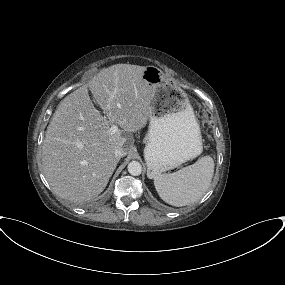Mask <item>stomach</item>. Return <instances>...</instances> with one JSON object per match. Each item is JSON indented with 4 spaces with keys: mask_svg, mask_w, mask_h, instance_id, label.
Segmentation results:
<instances>
[{
    "mask_svg": "<svg viewBox=\"0 0 285 285\" xmlns=\"http://www.w3.org/2000/svg\"><path fill=\"white\" fill-rule=\"evenodd\" d=\"M142 76L153 92L144 158L147 176L154 178L199 156L202 136L187 94L155 66Z\"/></svg>",
    "mask_w": 285,
    "mask_h": 285,
    "instance_id": "stomach-1",
    "label": "stomach"
}]
</instances>
